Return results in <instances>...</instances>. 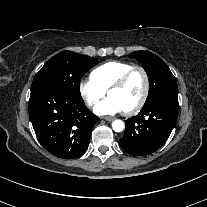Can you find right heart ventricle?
Instances as JSON below:
<instances>
[{"instance_id":"obj_1","label":"right heart ventricle","mask_w":207,"mask_h":207,"mask_svg":"<svg viewBox=\"0 0 207 207\" xmlns=\"http://www.w3.org/2000/svg\"><path fill=\"white\" fill-rule=\"evenodd\" d=\"M133 67L123 61H108L97 66L91 72L92 78L104 89H108L120 76Z\"/></svg>"}]
</instances>
